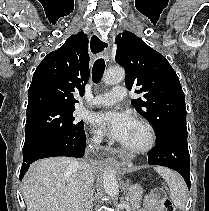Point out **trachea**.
Instances as JSON below:
<instances>
[{
    "instance_id": "obj_1",
    "label": "trachea",
    "mask_w": 209,
    "mask_h": 211,
    "mask_svg": "<svg viewBox=\"0 0 209 211\" xmlns=\"http://www.w3.org/2000/svg\"><path fill=\"white\" fill-rule=\"evenodd\" d=\"M105 70V60L103 58H99L95 61L92 70V80L94 83H98L104 73Z\"/></svg>"
}]
</instances>
